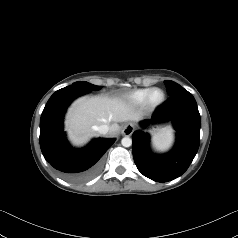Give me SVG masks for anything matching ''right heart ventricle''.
Masks as SVG:
<instances>
[{
  "instance_id": "right-heart-ventricle-1",
  "label": "right heart ventricle",
  "mask_w": 238,
  "mask_h": 238,
  "mask_svg": "<svg viewBox=\"0 0 238 238\" xmlns=\"http://www.w3.org/2000/svg\"><path fill=\"white\" fill-rule=\"evenodd\" d=\"M151 88H142L135 90L127 95V100L134 105H142L145 103L146 97Z\"/></svg>"
}]
</instances>
